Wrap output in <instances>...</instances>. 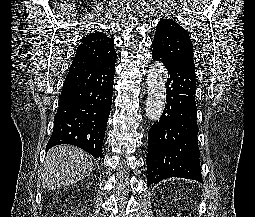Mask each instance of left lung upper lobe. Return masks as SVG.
<instances>
[{"label":"left lung upper lobe","mask_w":255,"mask_h":217,"mask_svg":"<svg viewBox=\"0 0 255 217\" xmlns=\"http://www.w3.org/2000/svg\"><path fill=\"white\" fill-rule=\"evenodd\" d=\"M152 46L174 63L195 71L192 41L188 32L175 21L161 19L158 22Z\"/></svg>","instance_id":"obj_1"}]
</instances>
